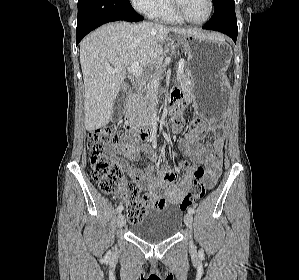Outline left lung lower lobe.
I'll return each instance as SVG.
<instances>
[{
    "label": "left lung lower lobe",
    "mask_w": 299,
    "mask_h": 280,
    "mask_svg": "<svg viewBox=\"0 0 299 280\" xmlns=\"http://www.w3.org/2000/svg\"><path fill=\"white\" fill-rule=\"evenodd\" d=\"M214 14L203 29L215 30L227 34L236 43L238 28L234 0H212Z\"/></svg>",
    "instance_id": "0a47b994"
}]
</instances>
